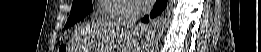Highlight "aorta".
Returning <instances> with one entry per match:
<instances>
[{"label":"aorta","instance_id":"762f6f07","mask_svg":"<svg viewBox=\"0 0 261 52\" xmlns=\"http://www.w3.org/2000/svg\"><path fill=\"white\" fill-rule=\"evenodd\" d=\"M167 25V18L161 17L151 24L143 33L145 47L144 52L154 50L158 44L160 37L162 36Z\"/></svg>","mask_w":261,"mask_h":52}]
</instances>
